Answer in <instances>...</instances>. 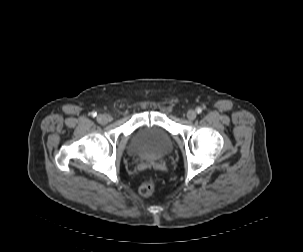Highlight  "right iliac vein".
<instances>
[{
	"instance_id": "right-iliac-vein-1",
	"label": "right iliac vein",
	"mask_w": 303,
	"mask_h": 252,
	"mask_svg": "<svg viewBox=\"0 0 303 252\" xmlns=\"http://www.w3.org/2000/svg\"><path fill=\"white\" fill-rule=\"evenodd\" d=\"M97 121L100 123V124H106L108 122V117L107 115L105 114H99L97 116Z\"/></svg>"
}]
</instances>
